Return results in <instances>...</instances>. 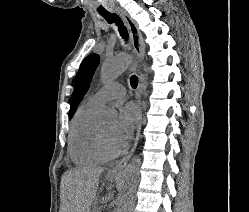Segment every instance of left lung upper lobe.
I'll list each match as a JSON object with an SVG mask.
<instances>
[{
  "mask_svg": "<svg viewBox=\"0 0 249 212\" xmlns=\"http://www.w3.org/2000/svg\"><path fill=\"white\" fill-rule=\"evenodd\" d=\"M100 57L97 54L87 56L80 65L79 71L75 78L74 91L70 100L69 119L72 118L76 111L77 105L87 92L92 76L99 64Z\"/></svg>",
  "mask_w": 249,
  "mask_h": 212,
  "instance_id": "left-lung-upper-lobe-1",
  "label": "left lung upper lobe"
}]
</instances>
